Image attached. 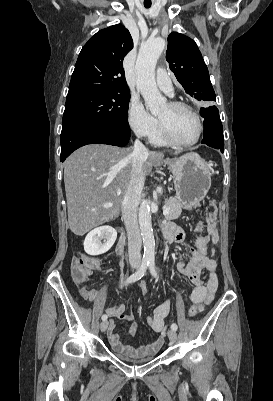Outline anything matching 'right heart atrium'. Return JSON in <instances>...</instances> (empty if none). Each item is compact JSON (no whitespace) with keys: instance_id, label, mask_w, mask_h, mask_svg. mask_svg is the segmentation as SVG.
I'll return each instance as SVG.
<instances>
[{"instance_id":"d8ad5b80","label":"right heart atrium","mask_w":273,"mask_h":401,"mask_svg":"<svg viewBox=\"0 0 273 401\" xmlns=\"http://www.w3.org/2000/svg\"><path fill=\"white\" fill-rule=\"evenodd\" d=\"M128 123L134 134L142 139L150 138L158 126L157 119L145 109L138 99L130 101Z\"/></svg>"}]
</instances>
